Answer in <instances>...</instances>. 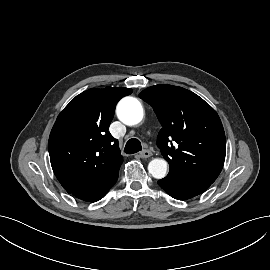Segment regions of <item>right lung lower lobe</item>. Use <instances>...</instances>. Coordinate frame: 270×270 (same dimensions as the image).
I'll list each match as a JSON object with an SVG mask.
<instances>
[{
	"label": "right lung lower lobe",
	"instance_id": "obj_1",
	"mask_svg": "<svg viewBox=\"0 0 270 270\" xmlns=\"http://www.w3.org/2000/svg\"><path fill=\"white\" fill-rule=\"evenodd\" d=\"M118 172L111 179L101 184H98L90 188L78 190L71 194L87 202H96L102 199L105 196V194L109 191V189L116 183L118 179Z\"/></svg>",
	"mask_w": 270,
	"mask_h": 270
}]
</instances>
